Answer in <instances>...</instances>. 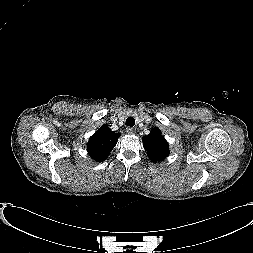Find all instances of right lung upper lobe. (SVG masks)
<instances>
[{
	"label": "right lung upper lobe",
	"mask_w": 253,
	"mask_h": 253,
	"mask_svg": "<svg viewBox=\"0 0 253 253\" xmlns=\"http://www.w3.org/2000/svg\"><path fill=\"white\" fill-rule=\"evenodd\" d=\"M119 133L111 131L107 125H103L90 137L87 150L89 155L97 162L104 161L115 147Z\"/></svg>",
	"instance_id": "obj_1"
}]
</instances>
